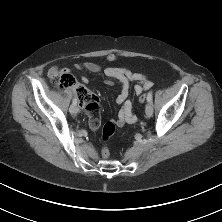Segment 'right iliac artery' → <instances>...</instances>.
<instances>
[{
    "instance_id": "1",
    "label": "right iliac artery",
    "mask_w": 222,
    "mask_h": 222,
    "mask_svg": "<svg viewBox=\"0 0 222 222\" xmlns=\"http://www.w3.org/2000/svg\"><path fill=\"white\" fill-rule=\"evenodd\" d=\"M73 104H77V99L76 98L73 99Z\"/></svg>"
}]
</instances>
